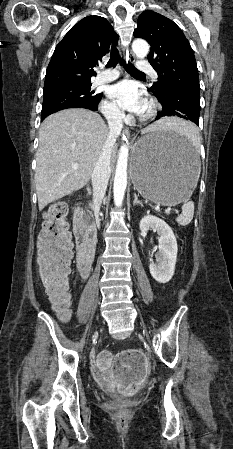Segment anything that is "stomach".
I'll return each instance as SVG.
<instances>
[{
    "instance_id": "1",
    "label": "stomach",
    "mask_w": 233,
    "mask_h": 449,
    "mask_svg": "<svg viewBox=\"0 0 233 449\" xmlns=\"http://www.w3.org/2000/svg\"><path fill=\"white\" fill-rule=\"evenodd\" d=\"M200 160L196 148L181 133L151 128L135 143L130 175L134 188L163 206L185 201L194 190Z\"/></svg>"
}]
</instances>
